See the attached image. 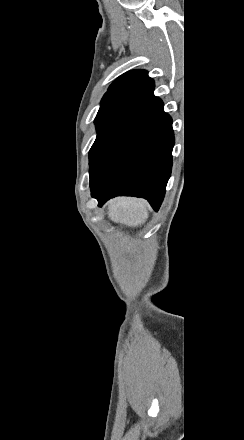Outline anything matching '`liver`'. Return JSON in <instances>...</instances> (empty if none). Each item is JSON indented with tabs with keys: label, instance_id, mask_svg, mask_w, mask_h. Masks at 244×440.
I'll list each match as a JSON object with an SVG mask.
<instances>
[{
	"label": "liver",
	"instance_id": "liver-1",
	"mask_svg": "<svg viewBox=\"0 0 244 440\" xmlns=\"http://www.w3.org/2000/svg\"><path fill=\"white\" fill-rule=\"evenodd\" d=\"M108 218L114 224L137 228L148 220L147 202L138 198H114L108 208Z\"/></svg>",
	"mask_w": 244,
	"mask_h": 440
}]
</instances>
